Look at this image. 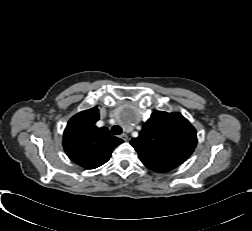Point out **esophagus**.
Returning <instances> with one entry per match:
<instances>
[{
  "instance_id": "34e87169",
  "label": "esophagus",
  "mask_w": 252,
  "mask_h": 231,
  "mask_svg": "<svg viewBox=\"0 0 252 231\" xmlns=\"http://www.w3.org/2000/svg\"><path fill=\"white\" fill-rule=\"evenodd\" d=\"M120 137H121L124 141H127V140H128V136H127V134H125V133L121 134Z\"/></svg>"
}]
</instances>
